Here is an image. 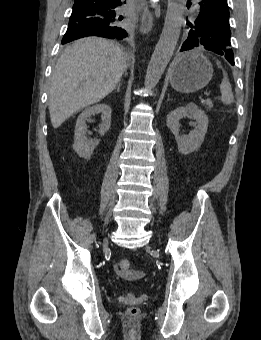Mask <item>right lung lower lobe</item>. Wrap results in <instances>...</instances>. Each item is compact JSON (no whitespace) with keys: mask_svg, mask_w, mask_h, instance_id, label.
I'll return each mask as SVG.
<instances>
[{"mask_svg":"<svg viewBox=\"0 0 261 340\" xmlns=\"http://www.w3.org/2000/svg\"><path fill=\"white\" fill-rule=\"evenodd\" d=\"M125 3L122 0H75L65 36L125 38L127 35L117 27L126 16L121 9Z\"/></svg>","mask_w":261,"mask_h":340,"instance_id":"98d812e1","label":"right lung lower lobe"}]
</instances>
